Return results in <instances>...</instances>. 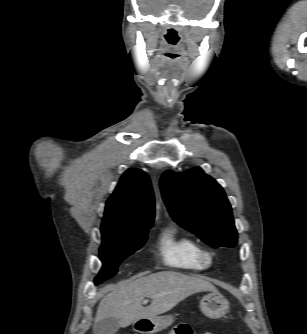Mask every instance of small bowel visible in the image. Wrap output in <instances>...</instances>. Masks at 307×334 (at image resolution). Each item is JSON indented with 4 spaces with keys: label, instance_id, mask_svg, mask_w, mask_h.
Instances as JSON below:
<instances>
[{
    "label": "small bowel",
    "instance_id": "c3829d8e",
    "mask_svg": "<svg viewBox=\"0 0 307 334\" xmlns=\"http://www.w3.org/2000/svg\"><path fill=\"white\" fill-rule=\"evenodd\" d=\"M172 334H194L189 328L186 327H178ZM202 334H213L209 331H204Z\"/></svg>",
    "mask_w": 307,
    "mask_h": 334
}]
</instances>
